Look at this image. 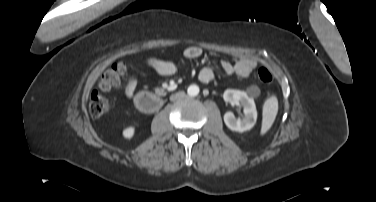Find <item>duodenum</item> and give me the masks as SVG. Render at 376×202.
Returning <instances> with one entry per match:
<instances>
[{
    "label": "duodenum",
    "mask_w": 376,
    "mask_h": 202,
    "mask_svg": "<svg viewBox=\"0 0 376 202\" xmlns=\"http://www.w3.org/2000/svg\"><path fill=\"white\" fill-rule=\"evenodd\" d=\"M164 94V91H161V94L155 95L149 92H142L134 97L135 107L144 113H154L161 107V95Z\"/></svg>",
    "instance_id": "duodenum-1"
}]
</instances>
